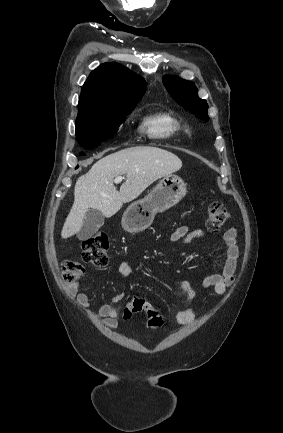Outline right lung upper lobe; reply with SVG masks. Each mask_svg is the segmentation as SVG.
I'll return each instance as SVG.
<instances>
[{
  "label": "right lung upper lobe",
  "instance_id": "obj_1",
  "mask_svg": "<svg viewBox=\"0 0 283 433\" xmlns=\"http://www.w3.org/2000/svg\"><path fill=\"white\" fill-rule=\"evenodd\" d=\"M145 80L117 63H104L84 83L78 109L132 107L145 93Z\"/></svg>",
  "mask_w": 283,
  "mask_h": 433
}]
</instances>
